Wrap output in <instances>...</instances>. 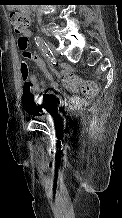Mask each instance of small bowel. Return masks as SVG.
<instances>
[{"instance_id": "c3829d8e", "label": "small bowel", "mask_w": 122, "mask_h": 218, "mask_svg": "<svg viewBox=\"0 0 122 218\" xmlns=\"http://www.w3.org/2000/svg\"><path fill=\"white\" fill-rule=\"evenodd\" d=\"M31 37H32V32L30 30H26L19 37L18 41L22 40L24 43V48L26 49L30 44ZM30 59L34 63H36L42 71L46 73L47 77L50 79L51 87L53 89H58V84L51 78V75L46 70V65L44 61L35 53L31 54ZM72 75H73L72 69L68 65H62V71H61L62 79L64 80L65 78L72 76ZM31 81L33 83V91L39 92V91L46 90V86L44 82L37 80V78L34 75H31ZM93 84L96 86L95 83ZM58 101H59V98L53 92H44V95L39 100V104L36 103V107L32 113L39 114V115L43 114L44 112L48 111L50 105L55 104ZM73 101H77V100H73ZM23 106H24V109L28 111L25 106L24 98H23Z\"/></svg>"}]
</instances>
